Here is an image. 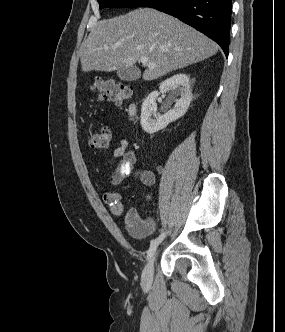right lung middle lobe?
<instances>
[{"instance_id":"obj_1","label":"right lung middle lobe","mask_w":285,"mask_h":332,"mask_svg":"<svg viewBox=\"0 0 285 332\" xmlns=\"http://www.w3.org/2000/svg\"><path fill=\"white\" fill-rule=\"evenodd\" d=\"M100 9L105 7H140L144 6L149 0H97Z\"/></svg>"}]
</instances>
